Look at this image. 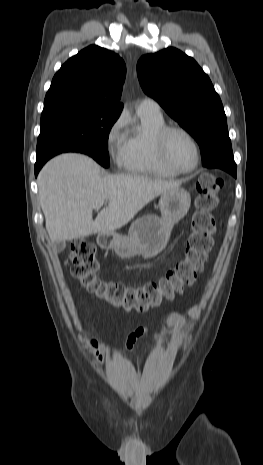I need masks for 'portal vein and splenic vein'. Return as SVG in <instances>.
Instances as JSON below:
<instances>
[{
	"label": "portal vein and splenic vein",
	"mask_w": 263,
	"mask_h": 465,
	"mask_svg": "<svg viewBox=\"0 0 263 465\" xmlns=\"http://www.w3.org/2000/svg\"><path fill=\"white\" fill-rule=\"evenodd\" d=\"M103 204H104V201H101L98 204H96L95 208H100L101 206H103Z\"/></svg>",
	"instance_id": "1"
}]
</instances>
